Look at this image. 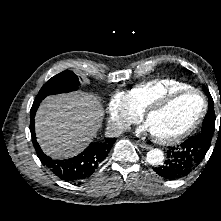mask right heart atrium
Instances as JSON below:
<instances>
[{
    "instance_id": "right-heart-atrium-1",
    "label": "right heart atrium",
    "mask_w": 221,
    "mask_h": 221,
    "mask_svg": "<svg viewBox=\"0 0 221 221\" xmlns=\"http://www.w3.org/2000/svg\"><path fill=\"white\" fill-rule=\"evenodd\" d=\"M139 119L140 114L131 108L126 94L123 91H115L107 108V123L110 130L115 133L122 132Z\"/></svg>"
}]
</instances>
